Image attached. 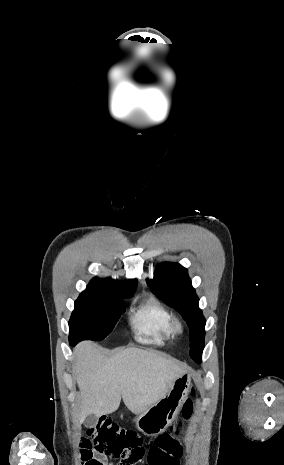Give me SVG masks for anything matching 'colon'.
<instances>
[{
	"instance_id": "colon-1",
	"label": "colon",
	"mask_w": 284,
	"mask_h": 465,
	"mask_svg": "<svg viewBox=\"0 0 284 465\" xmlns=\"http://www.w3.org/2000/svg\"><path fill=\"white\" fill-rule=\"evenodd\" d=\"M197 390L191 388L186 404L182 406V421H175L174 429H169V438H186L188 436V423L191 420V406ZM180 430V431H179ZM156 441L163 446H150L149 465H179L182 455H185V446H176L175 440L166 439L159 435ZM79 445L83 450L80 452L81 465H102L100 461L93 458V451L111 459H123L122 465H134L142 460L145 452L143 440L133 430H125L115 422L91 427L80 436ZM173 452V453H172Z\"/></svg>"
}]
</instances>
